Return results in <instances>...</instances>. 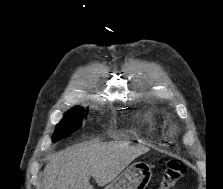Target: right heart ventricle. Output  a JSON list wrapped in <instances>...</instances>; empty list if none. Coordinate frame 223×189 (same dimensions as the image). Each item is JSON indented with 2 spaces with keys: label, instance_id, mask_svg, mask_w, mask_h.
<instances>
[{
  "label": "right heart ventricle",
  "instance_id": "obj_1",
  "mask_svg": "<svg viewBox=\"0 0 223 189\" xmlns=\"http://www.w3.org/2000/svg\"><path fill=\"white\" fill-rule=\"evenodd\" d=\"M146 130L150 135L158 134L164 127L160 117L153 111L147 110L144 114Z\"/></svg>",
  "mask_w": 223,
  "mask_h": 189
}]
</instances>
